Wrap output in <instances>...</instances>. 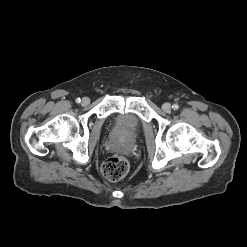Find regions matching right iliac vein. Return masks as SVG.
<instances>
[{
  "instance_id": "1",
  "label": "right iliac vein",
  "mask_w": 247,
  "mask_h": 247,
  "mask_svg": "<svg viewBox=\"0 0 247 247\" xmlns=\"http://www.w3.org/2000/svg\"><path fill=\"white\" fill-rule=\"evenodd\" d=\"M89 103H90V99H89L88 97H84V98L82 99L81 104H82L83 106H87Z\"/></svg>"
}]
</instances>
